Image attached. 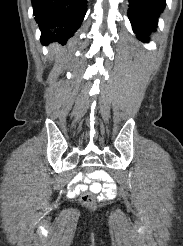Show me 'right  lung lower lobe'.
I'll use <instances>...</instances> for the list:
<instances>
[{"label": "right lung lower lobe", "mask_w": 183, "mask_h": 246, "mask_svg": "<svg viewBox=\"0 0 183 246\" xmlns=\"http://www.w3.org/2000/svg\"><path fill=\"white\" fill-rule=\"evenodd\" d=\"M33 15L41 31V43L66 42L80 27L87 0H31Z\"/></svg>", "instance_id": "1"}]
</instances>
